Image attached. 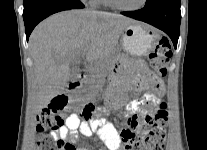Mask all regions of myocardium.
I'll list each match as a JSON object with an SVG mask.
<instances>
[{
  "instance_id": "f54148a6",
  "label": "myocardium",
  "mask_w": 207,
  "mask_h": 150,
  "mask_svg": "<svg viewBox=\"0 0 207 150\" xmlns=\"http://www.w3.org/2000/svg\"><path fill=\"white\" fill-rule=\"evenodd\" d=\"M108 2L110 3L111 6H113L114 8L118 10L125 11V12H135V11H139L143 9L148 3V0H142L140 5L136 7H131V8L120 5L117 0H108Z\"/></svg>"
}]
</instances>
